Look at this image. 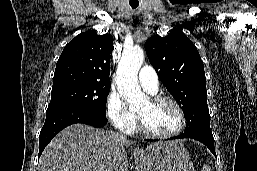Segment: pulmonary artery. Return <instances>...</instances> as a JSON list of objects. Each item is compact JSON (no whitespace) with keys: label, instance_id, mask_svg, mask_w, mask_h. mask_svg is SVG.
<instances>
[{"label":"pulmonary artery","instance_id":"pulmonary-artery-1","mask_svg":"<svg viewBox=\"0 0 257 171\" xmlns=\"http://www.w3.org/2000/svg\"><path fill=\"white\" fill-rule=\"evenodd\" d=\"M138 80L141 86L149 93L154 94L158 90L159 79L154 68L144 66L141 68Z\"/></svg>","mask_w":257,"mask_h":171}]
</instances>
